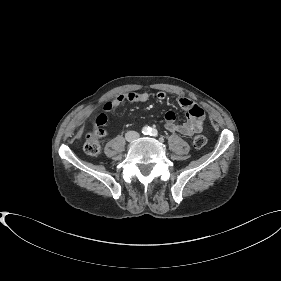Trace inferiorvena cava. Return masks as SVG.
<instances>
[{
  "mask_svg": "<svg viewBox=\"0 0 281 281\" xmlns=\"http://www.w3.org/2000/svg\"><path fill=\"white\" fill-rule=\"evenodd\" d=\"M125 138H126V140L129 141V142L136 141V140L139 138V133L136 132V131H128V132L125 134Z\"/></svg>",
  "mask_w": 281,
  "mask_h": 281,
  "instance_id": "602c4592",
  "label": "inferior vena cava"
}]
</instances>
